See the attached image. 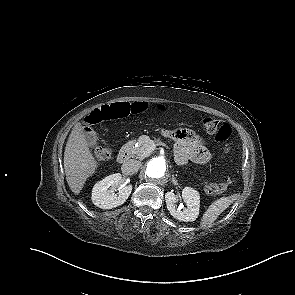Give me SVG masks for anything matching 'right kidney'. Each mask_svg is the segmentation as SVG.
Masks as SVG:
<instances>
[{
    "label": "right kidney",
    "instance_id": "ca27d5eb",
    "mask_svg": "<svg viewBox=\"0 0 295 295\" xmlns=\"http://www.w3.org/2000/svg\"><path fill=\"white\" fill-rule=\"evenodd\" d=\"M122 176L119 173L109 175L97 182L92 189V202L99 208L112 209L118 207L128 199L132 185H122ZM118 187V193L114 190Z\"/></svg>",
    "mask_w": 295,
    "mask_h": 295
}]
</instances>
